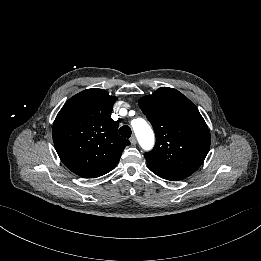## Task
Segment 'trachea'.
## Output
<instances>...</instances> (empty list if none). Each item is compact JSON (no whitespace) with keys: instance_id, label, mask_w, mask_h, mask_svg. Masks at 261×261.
Returning a JSON list of instances; mask_svg holds the SVG:
<instances>
[{"instance_id":"obj_1","label":"trachea","mask_w":261,"mask_h":261,"mask_svg":"<svg viewBox=\"0 0 261 261\" xmlns=\"http://www.w3.org/2000/svg\"><path fill=\"white\" fill-rule=\"evenodd\" d=\"M118 133H119L122 137L130 138L132 132H131V128H130L129 126L124 125V126H122V127L119 129Z\"/></svg>"}]
</instances>
